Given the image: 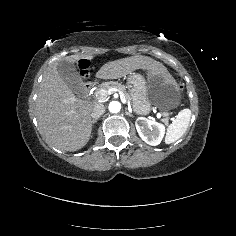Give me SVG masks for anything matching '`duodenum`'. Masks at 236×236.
<instances>
[{
	"mask_svg": "<svg viewBox=\"0 0 236 236\" xmlns=\"http://www.w3.org/2000/svg\"><path fill=\"white\" fill-rule=\"evenodd\" d=\"M92 86H93V81H91L88 78H85L82 85L83 94H86Z\"/></svg>",
	"mask_w": 236,
	"mask_h": 236,
	"instance_id": "1",
	"label": "duodenum"
}]
</instances>
